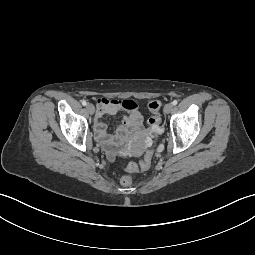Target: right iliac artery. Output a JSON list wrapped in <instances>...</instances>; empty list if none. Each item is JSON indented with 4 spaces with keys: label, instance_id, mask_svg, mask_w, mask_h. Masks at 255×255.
Returning a JSON list of instances; mask_svg holds the SVG:
<instances>
[{
    "label": "right iliac artery",
    "instance_id": "82829eb1",
    "mask_svg": "<svg viewBox=\"0 0 255 255\" xmlns=\"http://www.w3.org/2000/svg\"><path fill=\"white\" fill-rule=\"evenodd\" d=\"M81 103H82L83 106H86V105H87V102H86L85 100H82Z\"/></svg>",
    "mask_w": 255,
    "mask_h": 255
}]
</instances>
